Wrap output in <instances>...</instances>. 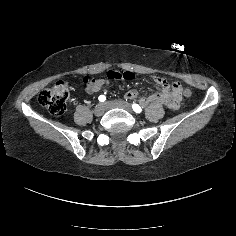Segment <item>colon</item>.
Returning a JSON list of instances; mask_svg holds the SVG:
<instances>
[{"mask_svg":"<svg viewBox=\"0 0 236 236\" xmlns=\"http://www.w3.org/2000/svg\"><path fill=\"white\" fill-rule=\"evenodd\" d=\"M107 78L111 81H129L134 78L131 72H119V71H109ZM84 83H90L87 77L81 79ZM179 87L178 84L174 85ZM69 85L66 81L60 80L56 82L53 86L45 88L42 90L38 96V102L41 106L45 107L51 114L55 116H60L65 113L67 109V100L69 98ZM182 94L185 97L191 96L190 89H183Z\"/></svg>","mask_w":236,"mask_h":236,"instance_id":"1","label":"colon"}]
</instances>
